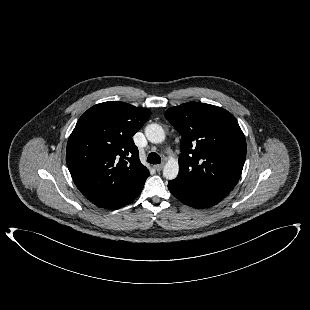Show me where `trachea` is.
<instances>
[{"label": "trachea", "mask_w": 310, "mask_h": 310, "mask_svg": "<svg viewBox=\"0 0 310 310\" xmlns=\"http://www.w3.org/2000/svg\"><path fill=\"white\" fill-rule=\"evenodd\" d=\"M147 162L150 163V164H160L161 163V158H160V156L157 153L152 152V153H150L148 155Z\"/></svg>", "instance_id": "1"}]
</instances>
